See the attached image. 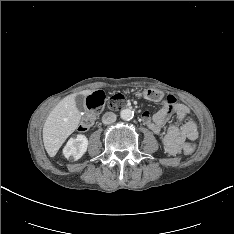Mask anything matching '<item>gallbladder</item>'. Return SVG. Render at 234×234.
<instances>
[{
    "instance_id": "gallbladder-1",
    "label": "gallbladder",
    "mask_w": 234,
    "mask_h": 234,
    "mask_svg": "<svg viewBox=\"0 0 234 234\" xmlns=\"http://www.w3.org/2000/svg\"><path fill=\"white\" fill-rule=\"evenodd\" d=\"M76 106L80 111L85 110V98L82 95H77L75 97Z\"/></svg>"
}]
</instances>
